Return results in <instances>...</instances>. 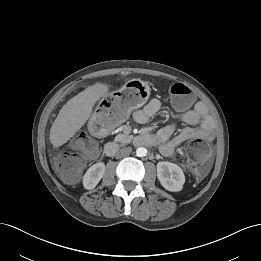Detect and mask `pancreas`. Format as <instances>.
<instances>
[{
  "mask_svg": "<svg viewBox=\"0 0 261 261\" xmlns=\"http://www.w3.org/2000/svg\"><path fill=\"white\" fill-rule=\"evenodd\" d=\"M131 139H132V136H130V135H128V134H118V135L115 137V141H116V142H120V143H122L123 145L130 143V142H131Z\"/></svg>",
  "mask_w": 261,
  "mask_h": 261,
  "instance_id": "pancreas-1",
  "label": "pancreas"
}]
</instances>
